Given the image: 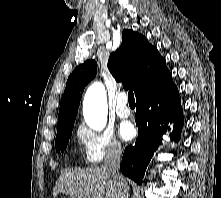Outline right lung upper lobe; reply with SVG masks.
Wrapping results in <instances>:
<instances>
[{"label": "right lung upper lobe", "mask_w": 221, "mask_h": 198, "mask_svg": "<svg viewBox=\"0 0 221 198\" xmlns=\"http://www.w3.org/2000/svg\"><path fill=\"white\" fill-rule=\"evenodd\" d=\"M122 44L108 60V68L123 87L133 89L136 97L162 76L168 69L157 48L144 36L125 29ZM97 63L88 60L75 68L69 76L62 95L57 132L74 126L85 86L96 76Z\"/></svg>", "instance_id": "cb5924a9"}]
</instances>
